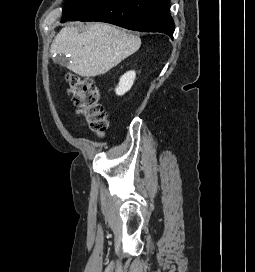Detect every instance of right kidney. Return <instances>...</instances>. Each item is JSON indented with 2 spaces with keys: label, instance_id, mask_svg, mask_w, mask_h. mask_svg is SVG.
Returning a JSON list of instances; mask_svg holds the SVG:
<instances>
[{
  "label": "right kidney",
  "instance_id": "ca27d5eb",
  "mask_svg": "<svg viewBox=\"0 0 255 272\" xmlns=\"http://www.w3.org/2000/svg\"><path fill=\"white\" fill-rule=\"evenodd\" d=\"M136 77L135 71L126 72L119 81L118 86L115 89L117 95L122 96L129 91L134 83Z\"/></svg>",
  "mask_w": 255,
  "mask_h": 272
}]
</instances>
